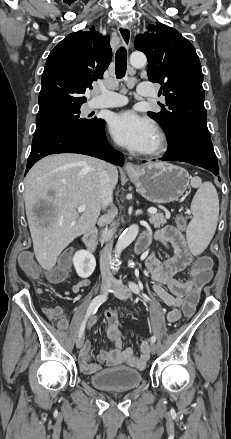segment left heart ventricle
<instances>
[{"instance_id":"left-heart-ventricle-1","label":"left heart ventricle","mask_w":231,"mask_h":439,"mask_svg":"<svg viewBox=\"0 0 231 439\" xmlns=\"http://www.w3.org/2000/svg\"><path fill=\"white\" fill-rule=\"evenodd\" d=\"M155 144H156V135H155V138H154L152 144L150 145L149 149H151L152 147H154Z\"/></svg>"}]
</instances>
